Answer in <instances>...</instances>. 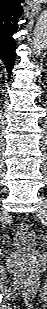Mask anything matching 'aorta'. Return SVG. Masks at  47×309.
I'll use <instances>...</instances> for the list:
<instances>
[{"mask_svg": "<svg viewBox=\"0 0 47 309\" xmlns=\"http://www.w3.org/2000/svg\"><path fill=\"white\" fill-rule=\"evenodd\" d=\"M47 48V16L43 13L38 19L33 32V49L40 54Z\"/></svg>", "mask_w": 47, "mask_h": 309, "instance_id": "obj_1", "label": "aorta"}]
</instances>
